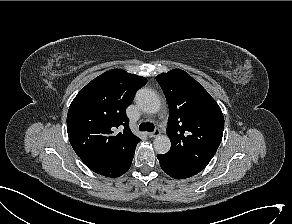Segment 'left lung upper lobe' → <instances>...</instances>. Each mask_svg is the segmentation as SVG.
Instances as JSON below:
<instances>
[{
	"label": "left lung upper lobe",
	"instance_id": "left-lung-upper-lobe-1",
	"mask_svg": "<svg viewBox=\"0 0 292 224\" xmlns=\"http://www.w3.org/2000/svg\"><path fill=\"white\" fill-rule=\"evenodd\" d=\"M156 80L169 105L166 132L171 149L163 155L199 173L222 140V111L209 93L181 69L159 74Z\"/></svg>",
	"mask_w": 292,
	"mask_h": 224
}]
</instances>
